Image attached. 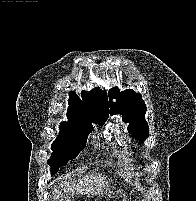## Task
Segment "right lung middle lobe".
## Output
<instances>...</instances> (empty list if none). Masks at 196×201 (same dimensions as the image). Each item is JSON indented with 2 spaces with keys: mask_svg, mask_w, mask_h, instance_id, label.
<instances>
[{
  "mask_svg": "<svg viewBox=\"0 0 196 201\" xmlns=\"http://www.w3.org/2000/svg\"><path fill=\"white\" fill-rule=\"evenodd\" d=\"M69 122H62L60 134L53 142V153L48 159L51 175L64 166L69 160L77 157L87 143L89 133L93 130L91 123L103 125L107 118H90L81 115H67Z\"/></svg>",
  "mask_w": 196,
  "mask_h": 201,
  "instance_id": "obj_1",
  "label": "right lung middle lobe"
}]
</instances>
